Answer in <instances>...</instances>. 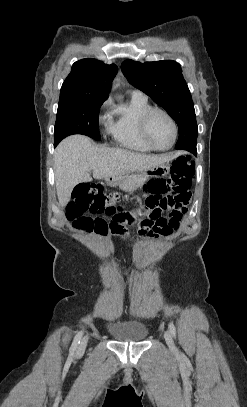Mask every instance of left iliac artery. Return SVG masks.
Returning <instances> with one entry per match:
<instances>
[{
	"instance_id": "obj_1",
	"label": "left iliac artery",
	"mask_w": 247,
	"mask_h": 407,
	"mask_svg": "<svg viewBox=\"0 0 247 407\" xmlns=\"http://www.w3.org/2000/svg\"><path fill=\"white\" fill-rule=\"evenodd\" d=\"M168 327H169V330H170L171 334H172L173 336H175V335H176V328H175L174 324H173V323H169Z\"/></svg>"
}]
</instances>
